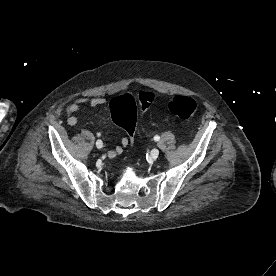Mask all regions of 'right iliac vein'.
<instances>
[{
	"label": "right iliac vein",
	"instance_id": "63e3f726",
	"mask_svg": "<svg viewBox=\"0 0 276 276\" xmlns=\"http://www.w3.org/2000/svg\"><path fill=\"white\" fill-rule=\"evenodd\" d=\"M102 146H103L102 141H101V140H97V141H96V147H97L98 149H101Z\"/></svg>",
	"mask_w": 276,
	"mask_h": 276
}]
</instances>
